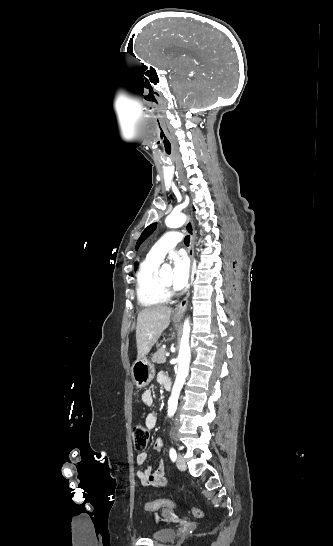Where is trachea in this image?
I'll use <instances>...</instances> for the list:
<instances>
[{
    "instance_id": "trachea-1",
    "label": "trachea",
    "mask_w": 333,
    "mask_h": 546,
    "mask_svg": "<svg viewBox=\"0 0 333 546\" xmlns=\"http://www.w3.org/2000/svg\"><path fill=\"white\" fill-rule=\"evenodd\" d=\"M189 242H190V236H185L184 238L185 245L189 246Z\"/></svg>"
}]
</instances>
